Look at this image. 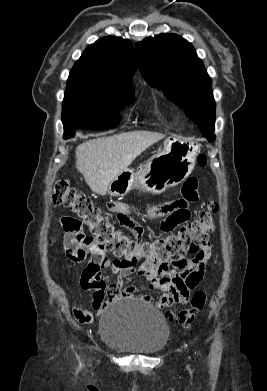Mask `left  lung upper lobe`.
<instances>
[{"label": "left lung upper lobe", "instance_id": "5c2ea615", "mask_svg": "<svg viewBox=\"0 0 267 391\" xmlns=\"http://www.w3.org/2000/svg\"><path fill=\"white\" fill-rule=\"evenodd\" d=\"M140 72L185 110L201 132L214 135L215 101L212 84L194 47L176 34L149 37L136 44Z\"/></svg>", "mask_w": 267, "mask_h": 391}]
</instances>
